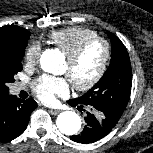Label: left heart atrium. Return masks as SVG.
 Instances as JSON below:
<instances>
[{
    "mask_svg": "<svg viewBox=\"0 0 153 153\" xmlns=\"http://www.w3.org/2000/svg\"><path fill=\"white\" fill-rule=\"evenodd\" d=\"M33 89L41 101L53 104L57 97L68 95L69 83L66 78L43 75L35 81Z\"/></svg>",
    "mask_w": 153,
    "mask_h": 153,
    "instance_id": "left-heart-atrium-1",
    "label": "left heart atrium"
}]
</instances>
